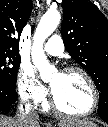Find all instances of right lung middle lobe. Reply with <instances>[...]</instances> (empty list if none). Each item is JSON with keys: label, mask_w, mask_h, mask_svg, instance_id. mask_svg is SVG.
<instances>
[{"label": "right lung middle lobe", "mask_w": 108, "mask_h": 127, "mask_svg": "<svg viewBox=\"0 0 108 127\" xmlns=\"http://www.w3.org/2000/svg\"><path fill=\"white\" fill-rule=\"evenodd\" d=\"M20 57L13 52L0 51V82L15 85Z\"/></svg>", "instance_id": "dd1d6c3e"}]
</instances>
